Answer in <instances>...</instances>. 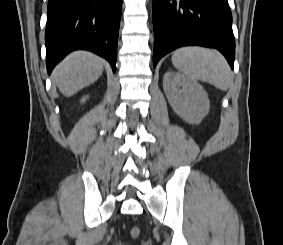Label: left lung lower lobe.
Returning <instances> with one entry per match:
<instances>
[{"mask_svg": "<svg viewBox=\"0 0 283 245\" xmlns=\"http://www.w3.org/2000/svg\"><path fill=\"white\" fill-rule=\"evenodd\" d=\"M153 66L188 45L218 49L233 69L235 40L227 0H153Z\"/></svg>", "mask_w": 283, "mask_h": 245, "instance_id": "left-lung-lower-lobe-1", "label": "left lung lower lobe"}]
</instances>
